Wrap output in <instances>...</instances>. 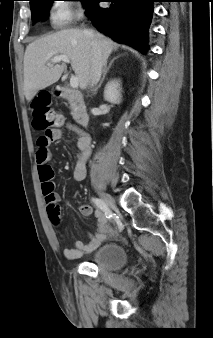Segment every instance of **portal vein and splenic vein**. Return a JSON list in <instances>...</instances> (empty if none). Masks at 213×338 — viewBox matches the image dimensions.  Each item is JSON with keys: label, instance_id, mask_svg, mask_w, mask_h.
Here are the masks:
<instances>
[{"label": "portal vein and splenic vein", "instance_id": "1", "mask_svg": "<svg viewBox=\"0 0 213 338\" xmlns=\"http://www.w3.org/2000/svg\"><path fill=\"white\" fill-rule=\"evenodd\" d=\"M61 61L65 62V63H69V58L65 55H58V56H55L51 60V63H47V65L51 66L52 64L59 63ZM70 86L74 89L79 86V81H78V78L76 76H72L70 78Z\"/></svg>", "mask_w": 213, "mask_h": 338}]
</instances>
